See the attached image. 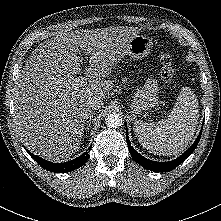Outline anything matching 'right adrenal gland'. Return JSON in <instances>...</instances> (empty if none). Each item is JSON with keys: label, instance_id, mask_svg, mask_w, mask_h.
Masks as SVG:
<instances>
[{"label": "right adrenal gland", "instance_id": "obj_1", "mask_svg": "<svg viewBox=\"0 0 221 221\" xmlns=\"http://www.w3.org/2000/svg\"><path fill=\"white\" fill-rule=\"evenodd\" d=\"M93 115H94V113H92V114H90V115L88 116V121H87L86 127H85V129H84L85 132H86V134H87V132H88L89 129H90V125H91V121H92Z\"/></svg>", "mask_w": 221, "mask_h": 221}]
</instances>
